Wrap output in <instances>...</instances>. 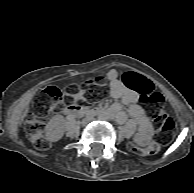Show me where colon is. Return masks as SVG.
<instances>
[{
  "mask_svg": "<svg viewBox=\"0 0 194 193\" xmlns=\"http://www.w3.org/2000/svg\"><path fill=\"white\" fill-rule=\"evenodd\" d=\"M123 82L138 92L139 102L147 107L148 114L153 118L154 124L158 129L156 140L149 146L141 148L131 145L130 150L140 156L155 155L159 152L164 141L173 138L176 124L164 111L163 96L154 91L145 78L135 73H126L123 76ZM104 87L105 82L102 77L88 79L80 86L70 87L66 101L69 103L77 100L94 102L102 96ZM63 102L64 96L60 89L54 86L47 87L26 121L27 137L38 150H46L50 147L51 144L44 134L45 120L53 111L58 110Z\"/></svg>",
  "mask_w": 194,
  "mask_h": 193,
  "instance_id": "5ec220e1",
  "label": "colon"
}]
</instances>
